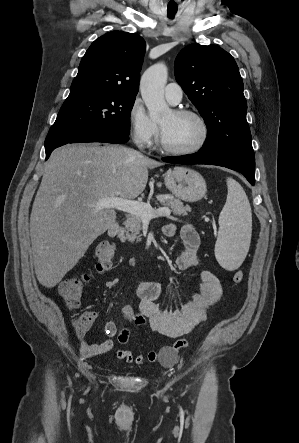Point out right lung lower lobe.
Here are the masks:
<instances>
[{
    "mask_svg": "<svg viewBox=\"0 0 299 443\" xmlns=\"http://www.w3.org/2000/svg\"><path fill=\"white\" fill-rule=\"evenodd\" d=\"M128 140L127 134L116 129L86 130L74 134H48L45 140L46 160L55 148L68 143L105 142L123 144Z\"/></svg>",
    "mask_w": 299,
    "mask_h": 443,
    "instance_id": "right-lung-lower-lobe-1",
    "label": "right lung lower lobe"
}]
</instances>
